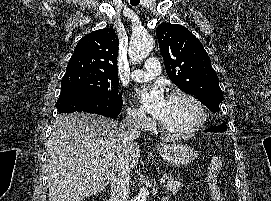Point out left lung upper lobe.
<instances>
[{
	"mask_svg": "<svg viewBox=\"0 0 271 201\" xmlns=\"http://www.w3.org/2000/svg\"><path fill=\"white\" fill-rule=\"evenodd\" d=\"M156 35L170 80L181 90L196 96L210 111H219L223 94L202 43L178 24L158 25ZM221 126L227 128L225 121Z\"/></svg>",
	"mask_w": 271,
	"mask_h": 201,
	"instance_id": "obj_1",
	"label": "left lung upper lobe"
}]
</instances>
